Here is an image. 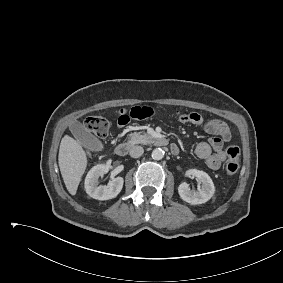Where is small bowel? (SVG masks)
Here are the masks:
<instances>
[{"label":"small bowel","mask_w":283,"mask_h":283,"mask_svg":"<svg viewBox=\"0 0 283 283\" xmlns=\"http://www.w3.org/2000/svg\"><path fill=\"white\" fill-rule=\"evenodd\" d=\"M154 115V110L147 106H135L130 109H122L118 113V127L124 128L131 119H145ZM181 123L201 127L211 137L207 142L199 143L195 148L198 158L204 160L211 170H217L226 160V153L223 150L225 143L231 139V131L227 123L219 119L205 121L196 113H177Z\"/></svg>","instance_id":"1"}]
</instances>
